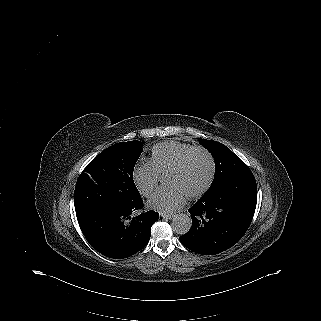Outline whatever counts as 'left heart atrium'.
I'll use <instances>...</instances> for the list:
<instances>
[{
	"mask_svg": "<svg viewBox=\"0 0 321 321\" xmlns=\"http://www.w3.org/2000/svg\"><path fill=\"white\" fill-rule=\"evenodd\" d=\"M184 192L161 189L151 198V206L165 213H174L184 204Z\"/></svg>",
	"mask_w": 321,
	"mask_h": 321,
	"instance_id": "39dd6f15",
	"label": "left heart atrium"
}]
</instances>
